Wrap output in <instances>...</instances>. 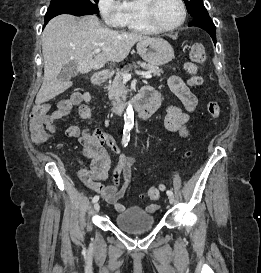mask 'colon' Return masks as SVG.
<instances>
[{
    "label": "colon",
    "instance_id": "1",
    "mask_svg": "<svg viewBox=\"0 0 261 273\" xmlns=\"http://www.w3.org/2000/svg\"><path fill=\"white\" fill-rule=\"evenodd\" d=\"M189 57L190 60L186 65V71L190 76L189 82L193 86H200L202 79L198 75V69L206 61V49L204 45L193 44L190 48ZM206 110L211 120H217L220 117V106L216 101L208 102ZM50 113L48 104H40L35 106L30 114L29 130L32 139L37 143H45L48 140V134L44 127L45 120ZM190 155L191 153L188 152L187 156ZM163 190V186H153L146 190L145 196L149 200H157Z\"/></svg>",
    "mask_w": 261,
    "mask_h": 273
}]
</instances>
